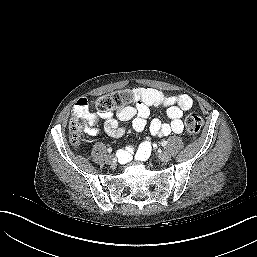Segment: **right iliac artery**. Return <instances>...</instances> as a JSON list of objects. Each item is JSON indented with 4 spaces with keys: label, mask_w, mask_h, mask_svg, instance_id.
<instances>
[{
    "label": "right iliac artery",
    "mask_w": 257,
    "mask_h": 257,
    "mask_svg": "<svg viewBox=\"0 0 257 257\" xmlns=\"http://www.w3.org/2000/svg\"><path fill=\"white\" fill-rule=\"evenodd\" d=\"M107 151L109 152V153H111L112 152V148H108L107 149ZM117 156L119 157V159H120V157H121V153L119 152V153H117Z\"/></svg>",
    "instance_id": "82829eb1"
}]
</instances>
